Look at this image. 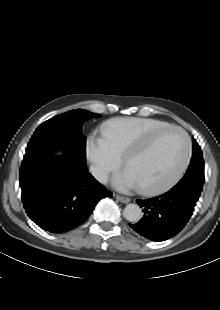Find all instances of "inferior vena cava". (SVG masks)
Listing matches in <instances>:
<instances>
[{
  "label": "inferior vena cava",
  "instance_id": "obj_1",
  "mask_svg": "<svg viewBox=\"0 0 220 310\" xmlns=\"http://www.w3.org/2000/svg\"><path fill=\"white\" fill-rule=\"evenodd\" d=\"M91 171H92V174L95 176V178H97L100 181L104 180L105 174L100 168L92 167Z\"/></svg>",
  "mask_w": 220,
  "mask_h": 310
}]
</instances>
